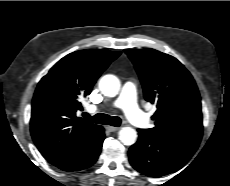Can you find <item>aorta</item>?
<instances>
[{
    "label": "aorta",
    "instance_id": "obj_1",
    "mask_svg": "<svg viewBox=\"0 0 230 186\" xmlns=\"http://www.w3.org/2000/svg\"><path fill=\"white\" fill-rule=\"evenodd\" d=\"M99 88L102 94L108 97H114L120 90V81L114 75H105L99 81ZM137 132L132 127H123L119 131V140L124 145L130 146L136 142Z\"/></svg>",
    "mask_w": 230,
    "mask_h": 186
}]
</instances>
